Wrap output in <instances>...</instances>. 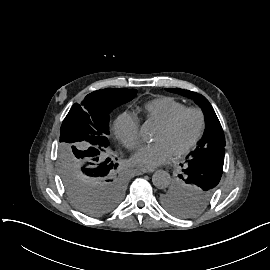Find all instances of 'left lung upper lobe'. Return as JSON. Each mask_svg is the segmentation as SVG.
Wrapping results in <instances>:
<instances>
[{"label": "left lung upper lobe", "mask_w": 270, "mask_h": 270, "mask_svg": "<svg viewBox=\"0 0 270 270\" xmlns=\"http://www.w3.org/2000/svg\"><path fill=\"white\" fill-rule=\"evenodd\" d=\"M167 91L192 98L205 115V131L197 148L185 161L182 174L165 188L160 201L170 213L191 218L208 207L222 176L225 137L219 119L209 103L201 94L180 88H166Z\"/></svg>", "instance_id": "5c2ea615"}]
</instances>
